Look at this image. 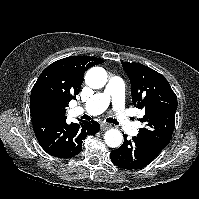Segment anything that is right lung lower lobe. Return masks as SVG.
Here are the masks:
<instances>
[{
  "mask_svg": "<svg viewBox=\"0 0 199 199\" xmlns=\"http://www.w3.org/2000/svg\"><path fill=\"white\" fill-rule=\"evenodd\" d=\"M32 124L41 147L58 158L77 155L82 149V141L100 130L99 123L93 120L67 124L66 119L38 117L32 119Z\"/></svg>",
  "mask_w": 199,
  "mask_h": 199,
  "instance_id": "right-lung-lower-lobe-1",
  "label": "right lung lower lobe"
}]
</instances>
